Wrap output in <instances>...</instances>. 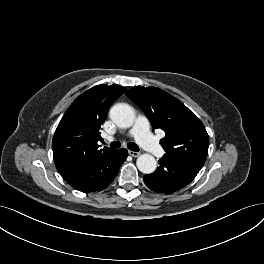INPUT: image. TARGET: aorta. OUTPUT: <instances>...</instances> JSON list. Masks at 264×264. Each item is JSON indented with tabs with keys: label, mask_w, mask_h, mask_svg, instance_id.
<instances>
[{
	"label": "aorta",
	"mask_w": 264,
	"mask_h": 264,
	"mask_svg": "<svg viewBox=\"0 0 264 264\" xmlns=\"http://www.w3.org/2000/svg\"><path fill=\"white\" fill-rule=\"evenodd\" d=\"M111 120L120 128L133 125L135 114L131 106L124 103L115 104L110 110ZM137 167L144 174L153 173L157 167L155 158L150 154H142L137 158Z\"/></svg>",
	"instance_id": "1"
}]
</instances>
